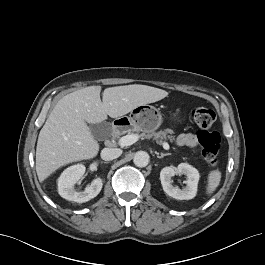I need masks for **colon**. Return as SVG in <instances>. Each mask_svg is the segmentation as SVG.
Listing matches in <instances>:
<instances>
[{"label": "colon", "mask_w": 265, "mask_h": 265, "mask_svg": "<svg viewBox=\"0 0 265 265\" xmlns=\"http://www.w3.org/2000/svg\"><path fill=\"white\" fill-rule=\"evenodd\" d=\"M191 116L198 127L197 140L204 160L211 166L216 165L221 145V136L211 130L216 114L212 109L198 107L192 110Z\"/></svg>", "instance_id": "5ec220e1"}]
</instances>
